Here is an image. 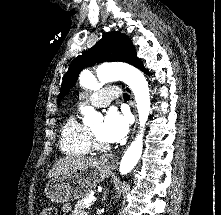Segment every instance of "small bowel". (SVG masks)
<instances>
[{
	"instance_id": "small-bowel-1",
	"label": "small bowel",
	"mask_w": 221,
	"mask_h": 215,
	"mask_svg": "<svg viewBox=\"0 0 221 215\" xmlns=\"http://www.w3.org/2000/svg\"><path fill=\"white\" fill-rule=\"evenodd\" d=\"M62 210L65 213H71V215H87V213L82 210H74L73 211L70 204H64L62 206Z\"/></svg>"
}]
</instances>
